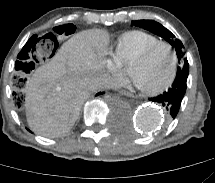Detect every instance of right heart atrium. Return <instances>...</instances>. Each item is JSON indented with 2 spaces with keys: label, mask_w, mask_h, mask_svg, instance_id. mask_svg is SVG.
Returning <instances> with one entry per match:
<instances>
[{
  "label": "right heart atrium",
  "mask_w": 215,
  "mask_h": 183,
  "mask_svg": "<svg viewBox=\"0 0 215 183\" xmlns=\"http://www.w3.org/2000/svg\"><path fill=\"white\" fill-rule=\"evenodd\" d=\"M108 68L118 81L123 80V68L121 61L114 55L108 60Z\"/></svg>",
  "instance_id": "1"
}]
</instances>
